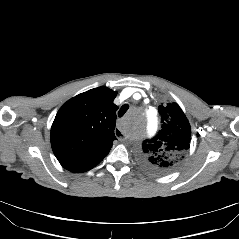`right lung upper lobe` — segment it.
Segmentation results:
<instances>
[{
    "mask_svg": "<svg viewBox=\"0 0 239 239\" xmlns=\"http://www.w3.org/2000/svg\"><path fill=\"white\" fill-rule=\"evenodd\" d=\"M117 93L98 87L68 100L51 127V146L60 164L71 172H86L109 153L116 124Z\"/></svg>",
    "mask_w": 239,
    "mask_h": 239,
    "instance_id": "1",
    "label": "right lung upper lobe"
}]
</instances>
